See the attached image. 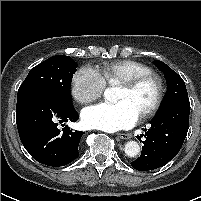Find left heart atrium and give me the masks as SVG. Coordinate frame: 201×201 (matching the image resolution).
<instances>
[{
  "label": "left heart atrium",
  "instance_id": "obj_1",
  "mask_svg": "<svg viewBox=\"0 0 201 201\" xmlns=\"http://www.w3.org/2000/svg\"><path fill=\"white\" fill-rule=\"evenodd\" d=\"M136 110L126 101L100 103L82 111V122L88 128L115 132L132 127L139 119Z\"/></svg>",
  "mask_w": 201,
  "mask_h": 201
}]
</instances>
